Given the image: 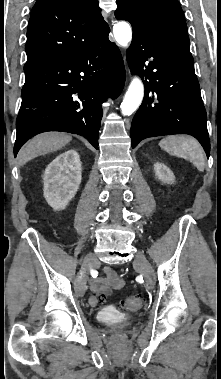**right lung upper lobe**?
Wrapping results in <instances>:
<instances>
[{"label":"right lung upper lobe","mask_w":221,"mask_h":379,"mask_svg":"<svg viewBox=\"0 0 221 379\" xmlns=\"http://www.w3.org/2000/svg\"><path fill=\"white\" fill-rule=\"evenodd\" d=\"M108 30L98 0H37L28 24L24 69L81 49Z\"/></svg>","instance_id":"right-lung-upper-lobe-1"}]
</instances>
